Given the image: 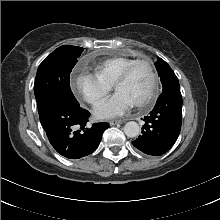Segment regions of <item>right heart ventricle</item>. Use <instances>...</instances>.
I'll return each mask as SVG.
<instances>
[{
	"instance_id": "e07e8e85",
	"label": "right heart ventricle",
	"mask_w": 220,
	"mask_h": 220,
	"mask_svg": "<svg viewBox=\"0 0 220 220\" xmlns=\"http://www.w3.org/2000/svg\"><path fill=\"white\" fill-rule=\"evenodd\" d=\"M134 60V58L124 56L105 59L94 66L95 75L108 85H112L123 70Z\"/></svg>"
}]
</instances>
